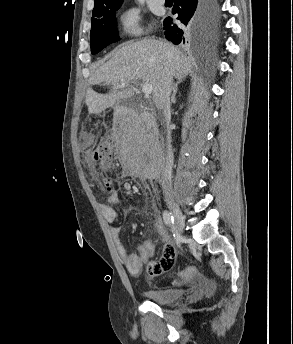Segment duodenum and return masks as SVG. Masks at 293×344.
<instances>
[{"instance_id": "duodenum-1", "label": "duodenum", "mask_w": 293, "mask_h": 344, "mask_svg": "<svg viewBox=\"0 0 293 344\" xmlns=\"http://www.w3.org/2000/svg\"><path fill=\"white\" fill-rule=\"evenodd\" d=\"M117 112H118L119 123H125V122L132 123V122H136L138 119L136 115L125 113L121 108H118ZM141 117L147 126L152 127L154 125V120L152 119L150 115L143 113Z\"/></svg>"}]
</instances>
